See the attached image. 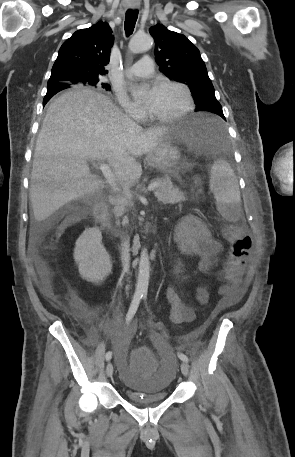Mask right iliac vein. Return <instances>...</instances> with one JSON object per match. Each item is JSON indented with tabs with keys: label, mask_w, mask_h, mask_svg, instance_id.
Instances as JSON below:
<instances>
[{
	"label": "right iliac vein",
	"mask_w": 295,
	"mask_h": 457,
	"mask_svg": "<svg viewBox=\"0 0 295 457\" xmlns=\"http://www.w3.org/2000/svg\"><path fill=\"white\" fill-rule=\"evenodd\" d=\"M106 375L108 377H112V375H113V365L111 362H109L106 366Z\"/></svg>",
	"instance_id": "63e3f726"
}]
</instances>
